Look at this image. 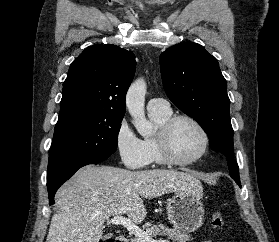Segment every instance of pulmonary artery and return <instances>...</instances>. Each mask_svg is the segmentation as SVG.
<instances>
[{
	"label": "pulmonary artery",
	"mask_w": 279,
	"mask_h": 242,
	"mask_svg": "<svg viewBox=\"0 0 279 242\" xmlns=\"http://www.w3.org/2000/svg\"><path fill=\"white\" fill-rule=\"evenodd\" d=\"M149 110H169L168 102L163 98H153L148 102Z\"/></svg>",
	"instance_id": "1"
}]
</instances>
